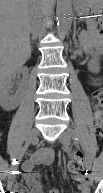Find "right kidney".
<instances>
[{
	"instance_id": "right-kidney-1",
	"label": "right kidney",
	"mask_w": 103,
	"mask_h": 193,
	"mask_svg": "<svg viewBox=\"0 0 103 193\" xmlns=\"http://www.w3.org/2000/svg\"><path fill=\"white\" fill-rule=\"evenodd\" d=\"M15 77V73L7 76L1 74L0 77V106L6 111L14 110L19 105L18 95L10 94V90L14 86ZM21 86L22 83L19 84V87Z\"/></svg>"
}]
</instances>
